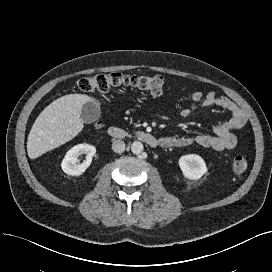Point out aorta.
I'll return each mask as SVG.
<instances>
[{"label": "aorta", "mask_w": 272, "mask_h": 272, "mask_svg": "<svg viewBox=\"0 0 272 272\" xmlns=\"http://www.w3.org/2000/svg\"><path fill=\"white\" fill-rule=\"evenodd\" d=\"M143 144L140 141H134L131 144V151L133 154L139 155L143 152Z\"/></svg>", "instance_id": "obj_1"}]
</instances>
